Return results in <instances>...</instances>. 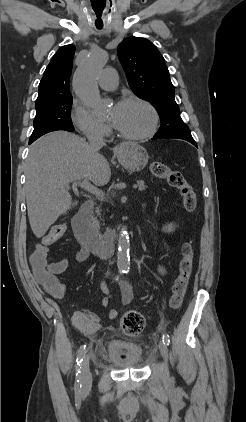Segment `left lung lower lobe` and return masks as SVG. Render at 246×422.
I'll return each instance as SVG.
<instances>
[{
	"mask_svg": "<svg viewBox=\"0 0 246 422\" xmlns=\"http://www.w3.org/2000/svg\"><path fill=\"white\" fill-rule=\"evenodd\" d=\"M162 138H179V139H183V140H186V141H188V142L192 143L193 145H195V146L197 147V144H196V142L194 141V139L192 138V136H179V137H156V136H154V137L152 138V140H155V139H162Z\"/></svg>",
	"mask_w": 246,
	"mask_h": 422,
	"instance_id": "0a47b994",
	"label": "left lung lower lobe"
}]
</instances>
